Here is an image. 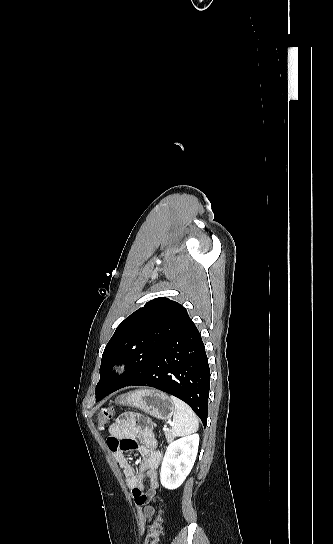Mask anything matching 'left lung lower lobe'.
<instances>
[{"instance_id":"1","label":"left lung lower lobe","mask_w":333,"mask_h":544,"mask_svg":"<svg viewBox=\"0 0 333 544\" xmlns=\"http://www.w3.org/2000/svg\"><path fill=\"white\" fill-rule=\"evenodd\" d=\"M131 385L154 387L178 397L206 426L210 369L201 335L189 316L140 375L126 386ZM111 393L96 394V401Z\"/></svg>"}]
</instances>
